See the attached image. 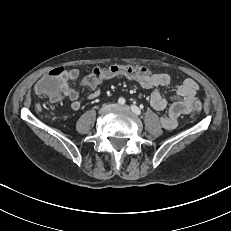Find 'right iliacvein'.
I'll use <instances>...</instances> for the list:
<instances>
[{
  "label": "right iliac vein",
  "mask_w": 231,
  "mask_h": 231,
  "mask_svg": "<svg viewBox=\"0 0 231 231\" xmlns=\"http://www.w3.org/2000/svg\"><path fill=\"white\" fill-rule=\"evenodd\" d=\"M115 104H110V105H104L100 108L99 113L104 114L106 113L110 108H113Z\"/></svg>",
  "instance_id": "obj_1"
}]
</instances>
